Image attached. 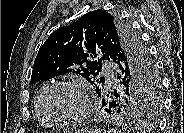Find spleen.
Here are the masks:
<instances>
[{
	"instance_id": "3e777b00",
	"label": "spleen",
	"mask_w": 184,
	"mask_h": 133,
	"mask_svg": "<svg viewBox=\"0 0 184 133\" xmlns=\"http://www.w3.org/2000/svg\"><path fill=\"white\" fill-rule=\"evenodd\" d=\"M110 132H114V133H116V131H110ZM120 132V131H119ZM118 133V132H117Z\"/></svg>"
}]
</instances>
